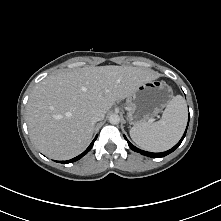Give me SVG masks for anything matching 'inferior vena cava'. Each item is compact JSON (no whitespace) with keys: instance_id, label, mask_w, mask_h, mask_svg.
<instances>
[{"instance_id":"obj_1","label":"inferior vena cava","mask_w":221,"mask_h":221,"mask_svg":"<svg viewBox=\"0 0 221 221\" xmlns=\"http://www.w3.org/2000/svg\"><path fill=\"white\" fill-rule=\"evenodd\" d=\"M104 116H105V114H104L103 112H97V113H95V114L93 115L92 121H93L94 123H96V122H98V121H101V120L104 119Z\"/></svg>"}]
</instances>
